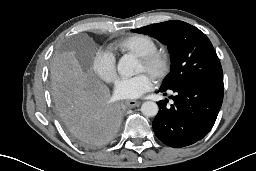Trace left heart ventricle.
<instances>
[{"label":"left heart ventricle","instance_id":"obj_1","mask_svg":"<svg viewBox=\"0 0 256 171\" xmlns=\"http://www.w3.org/2000/svg\"><path fill=\"white\" fill-rule=\"evenodd\" d=\"M138 71L139 72H146L145 66H144V64L141 61H139V69H138Z\"/></svg>","mask_w":256,"mask_h":171}]
</instances>
